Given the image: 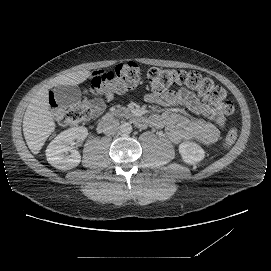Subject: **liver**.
I'll return each mask as SVG.
<instances>
[{
    "instance_id": "obj_1",
    "label": "liver",
    "mask_w": 271,
    "mask_h": 271,
    "mask_svg": "<svg viewBox=\"0 0 271 271\" xmlns=\"http://www.w3.org/2000/svg\"><path fill=\"white\" fill-rule=\"evenodd\" d=\"M89 71H77L53 78L48 87L58 85H76L89 77ZM54 129L48 113V88L43 86L32 98L23 118V133L28 148L38 154L45 140Z\"/></svg>"
}]
</instances>
